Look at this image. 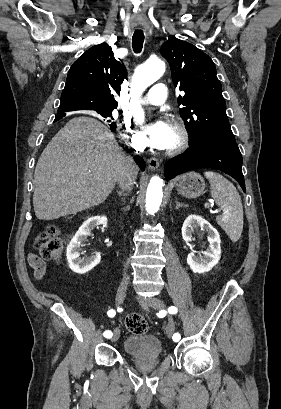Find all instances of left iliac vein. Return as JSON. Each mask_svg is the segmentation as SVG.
<instances>
[{
    "mask_svg": "<svg viewBox=\"0 0 281 409\" xmlns=\"http://www.w3.org/2000/svg\"><path fill=\"white\" fill-rule=\"evenodd\" d=\"M141 306H149L153 309L161 310L164 308L165 304L162 300L158 298H145V297H137ZM175 325L172 319L169 320L168 325L166 327V334L168 337H171L174 333Z\"/></svg>",
    "mask_w": 281,
    "mask_h": 409,
    "instance_id": "obj_1",
    "label": "left iliac vein"
}]
</instances>
